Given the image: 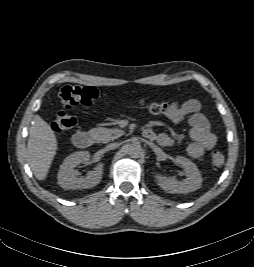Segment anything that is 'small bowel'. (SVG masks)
I'll list each match as a JSON object with an SVG mask.
<instances>
[{"label":"small bowel","mask_w":254,"mask_h":267,"mask_svg":"<svg viewBox=\"0 0 254 267\" xmlns=\"http://www.w3.org/2000/svg\"><path fill=\"white\" fill-rule=\"evenodd\" d=\"M201 103L196 99H189L183 103L175 102L170 110L166 113L168 119L174 123H181L187 119L190 125L189 137L192 142L188 145L187 152L192 158H200L203 154L211 150L217 141L215 134L210 130V125L201 112ZM153 134V139L161 146L170 147L175 140L166 133Z\"/></svg>","instance_id":"obj_1"}]
</instances>
